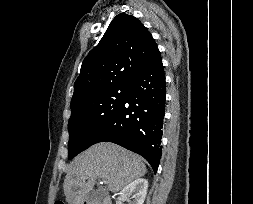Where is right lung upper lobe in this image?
<instances>
[{"mask_svg":"<svg viewBox=\"0 0 253 204\" xmlns=\"http://www.w3.org/2000/svg\"><path fill=\"white\" fill-rule=\"evenodd\" d=\"M157 51L155 40L136 17L117 15L83 61L71 107L108 89L127 86Z\"/></svg>","mask_w":253,"mask_h":204,"instance_id":"right-lung-upper-lobe-1","label":"right lung upper lobe"}]
</instances>
